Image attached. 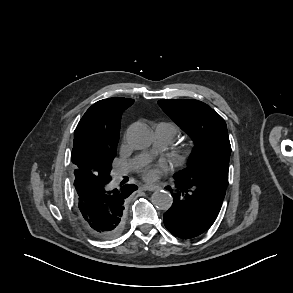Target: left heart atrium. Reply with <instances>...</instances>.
<instances>
[{
	"mask_svg": "<svg viewBox=\"0 0 293 293\" xmlns=\"http://www.w3.org/2000/svg\"><path fill=\"white\" fill-rule=\"evenodd\" d=\"M167 170V165L165 163H160L157 165H148L142 169V176L147 181H155L159 176Z\"/></svg>",
	"mask_w": 293,
	"mask_h": 293,
	"instance_id": "39dd6f15",
	"label": "left heart atrium"
}]
</instances>
